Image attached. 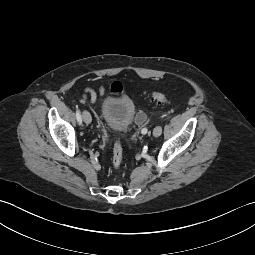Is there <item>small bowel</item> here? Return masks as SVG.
<instances>
[{"label": "small bowel", "instance_id": "obj_1", "mask_svg": "<svg viewBox=\"0 0 255 255\" xmlns=\"http://www.w3.org/2000/svg\"><path fill=\"white\" fill-rule=\"evenodd\" d=\"M104 94L105 89L103 87H100L98 92L91 88H87L82 95V101L85 102L86 100H90L91 103H95L98 99H102Z\"/></svg>", "mask_w": 255, "mask_h": 255}]
</instances>
